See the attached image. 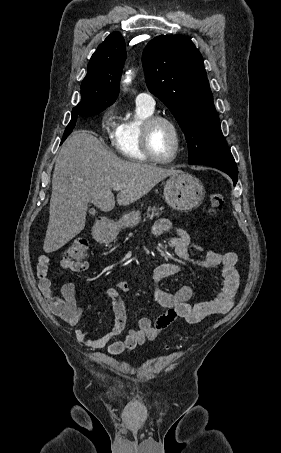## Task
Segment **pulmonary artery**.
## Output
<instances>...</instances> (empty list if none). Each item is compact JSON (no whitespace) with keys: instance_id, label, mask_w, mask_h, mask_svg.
Returning a JSON list of instances; mask_svg holds the SVG:
<instances>
[{"instance_id":"e3ab8cb5","label":"pulmonary artery","mask_w":281,"mask_h":453,"mask_svg":"<svg viewBox=\"0 0 281 453\" xmlns=\"http://www.w3.org/2000/svg\"><path fill=\"white\" fill-rule=\"evenodd\" d=\"M136 100L140 101V102H146V104L148 106H154L153 99H152V97L149 94L140 93V94L137 95Z\"/></svg>"}]
</instances>
